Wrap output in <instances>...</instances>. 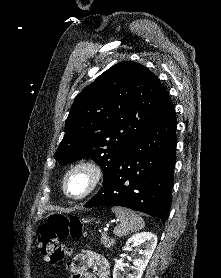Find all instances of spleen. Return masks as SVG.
Segmentation results:
<instances>
[{
	"label": "spleen",
	"mask_w": 221,
	"mask_h": 278,
	"mask_svg": "<svg viewBox=\"0 0 221 278\" xmlns=\"http://www.w3.org/2000/svg\"><path fill=\"white\" fill-rule=\"evenodd\" d=\"M112 212L120 221V224L113 231L118 237L139 231L144 227L142 217L130 209L114 206L112 207Z\"/></svg>",
	"instance_id": "1"
}]
</instances>
